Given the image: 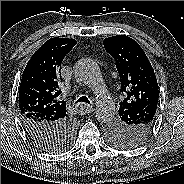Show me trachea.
<instances>
[{"instance_id": "trachea-1", "label": "trachea", "mask_w": 184, "mask_h": 184, "mask_svg": "<svg viewBox=\"0 0 184 184\" xmlns=\"http://www.w3.org/2000/svg\"><path fill=\"white\" fill-rule=\"evenodd\" d=\"M82 103V102H84V103H87V104H90V101H89V99L86 97V96H81L77 101H76V103Z\"/></svg>"}]
</instances>
